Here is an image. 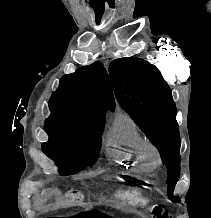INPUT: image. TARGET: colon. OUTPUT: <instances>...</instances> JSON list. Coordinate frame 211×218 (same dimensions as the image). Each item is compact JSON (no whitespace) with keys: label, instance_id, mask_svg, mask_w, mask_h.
Masks as SVG:
<instances>
[{"label":"colon","instance_id":"5ec220e1","mask_svg":"<svg viewBox=\"0 0 211 218\" xmlns=\"http://www.w3.org/2000/svg\"><path fill=\"white\" fill-rule=\"evenodd\" d=\"M113 196L136 206H143L149 202L148 197L143 193L140 188L136 187H123L110 191ZM67 198L69 199H80L83 194L80 190L71 189L66 193ZM166 218H169L168 215H165Z\"/></svg>","mask_w":211,"mask_h":218}]
</instances>
